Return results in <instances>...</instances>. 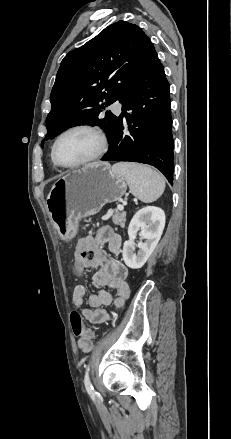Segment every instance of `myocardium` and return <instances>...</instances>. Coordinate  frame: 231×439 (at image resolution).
<instances>
[{
  "label": "myocardium",
  "instance_id": "myocardium-1",
  "mask_svg": "<svg viewBox=\"0 0 231 439\" xmlns=\"http://www.w3.org/2000/svg\"><path fill=\"white\" fill-rule=\"evenodd\" d=\"M78 130H83V131H88V132L93 133L98 138L99 148L92 156L88 157L87 159H84L80 162L73 163V164H65V163L61 162L60 159L58 158V155H57L58 143L68 133L78 131ZM108 147H109V139H108V136L104 132L103 129H101L100 127H98L96 125L78 124V125H74V126H71L67 129H65L56 137V139L53 143V146H52L51 154H52V158L57 166L62 167V168L72 169V168H77V167L89 164L91 162H94V161L100 159L102 156L105 155V153L108 150Z\"/></svg>",
  "mask_w": 231,
  "mask_h": 439
}]
</instances>
